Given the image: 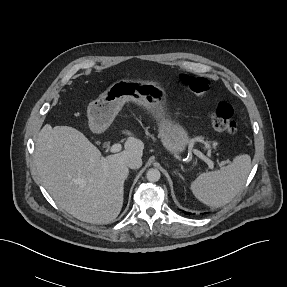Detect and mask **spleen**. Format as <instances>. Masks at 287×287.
Wrapping results in <instances>:
<instances>
[{
	"label": "spleen",
	"mask_w": 287,
	"mask_h": 287,
	"mask_svg": "<svg viewBox=\"0 0 287 287\" xmlns=\"http://www.w3.org/2000/svg\"><path fill=\"white\" fill-rule=\"evenodd\" d=\"M250 170L251 157L248 154L238 155L220 170L200 174L191 183V191L209 207L224 206L242 189Z\"/></svg>",
	"instance_id": "1"
}]
</instances>
